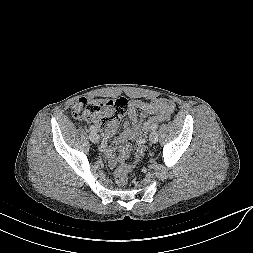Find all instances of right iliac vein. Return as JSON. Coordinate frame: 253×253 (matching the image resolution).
<instances>
[{
  "mask_svg": "<svg viewBox=\"0 0 253 253\" xmlns=\"http://www.w3.org/2000/svg\"><path fill=\"white\" fill-rule=\"evenodd\" d=\"M89 138L94 143H98L100 141V137H99V135L96 132H91L89 134Z\"/></svg>",
  "mask_w": 253,
  "mask_h": 253,
  "instance_id": "right-iliac-vein-1",
  "label": "right iliac vein"
}]
</instances>
